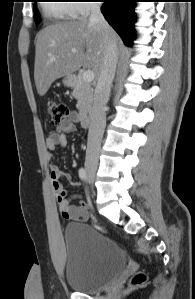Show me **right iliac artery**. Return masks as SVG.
<instances>
[{"instance_id": "right-iliac-artery-1", "label": "right iliac artery", "mask_w": 195, "mask_h": 299, "mask_svg": "<svg viewBox=\"0 0 195 299\" xmlns=\"http://www.w3.org/2000/svg\"><path fill=\"white\" fill-rule=\"evenodd\" d=\"M79 177L82 181H85L86 180V177H87V173H86V170L84 168H80L79 169Z\"/></svg>"}]
</instances>
